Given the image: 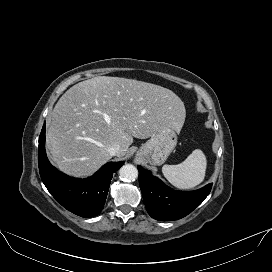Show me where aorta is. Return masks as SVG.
<instances>
[{
    "label": "aorta",
    "instance_id": "obj_1",
    "mask_svg": "<svg viewBox=\"0 0 272 272\" xmlns=\"http://www.w3.org/2000/svg\"><path fill=\"white\" fill-rule=\"evenodd\" d=\"M119 177L126 182L135 181L138 177V170L132 164L123 165L119 170Z\"/></svg>",
    "mask_w": 272,
    "mask_h": 272
}]
</instances>
